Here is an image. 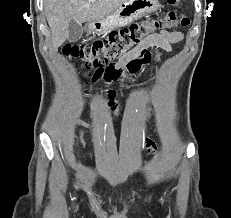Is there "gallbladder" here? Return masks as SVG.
<instances>
[{
  "label": "gallbladder",
  "mask_w": 231,
  "mask_h": 218,
  "mask_svg": "<svg viewBox=\"0 0 231 218\" xmlns=\"http://www.w3.org/2000/svg\"><path fill=\"white\" fill-rule=\"evenodd\" d=\"M68 31H69L68 41L69 42H76L82 36L83 27L80 23H78L72 19L69 23Z\"/></svg>",
  "instance_id": "gallbladder-1"
}]
</instances>
